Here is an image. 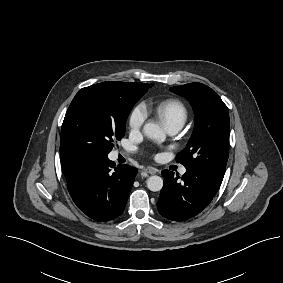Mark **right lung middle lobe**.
Segmentation results:
<instances>
[{
  "label": "right lung middle lobe",
  "mask_w": 283,
  "mask_h": 283,
  "mask_svg": "<svg viewBox=\"0 0 283 283\" xmlns=\"http://www.w3.org/2000/svg\"><path fill=\"white\" fill-rule=\"evenodd\" d=\"M152 85L113 81L82 88L65 115L61 145L83 160L106 157L124 136L130 110Z\"/></svg>",
  "instance_id": "right-lung-middle-lobe-1"
}]
</instances>
